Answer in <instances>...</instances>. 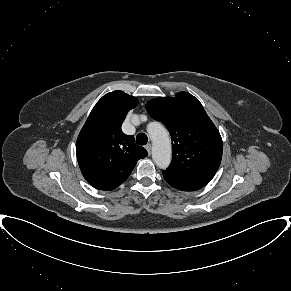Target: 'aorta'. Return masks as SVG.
<instances>
[{"instance_id": "obj_1", "label": "aorta", "mask_w": 291, "mask_h": 291, "mask_svg": "<svg viewBox=\"0 0 291 291\" xmlns=\"http://www.w3.org/2000/svg\"><path fill=\"white\" fill-rule=\"evenodd\" d=\"M147 131L152 140V158L161 169H166L172 157L171 140L166 128L158 122H151Z\"/></svg>"}]
</instances>
